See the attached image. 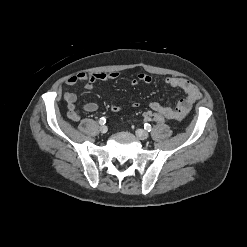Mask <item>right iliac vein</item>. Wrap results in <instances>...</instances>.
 I'll return each instance as SVG.
<instances>
[{
  "label": "right iliac vein",
  "mask_w": 247,
  "mask_h": 247,
  "mask_svg": "<svg viewBox=\"0 0 247 247\" xmlns=\"http://www.w3.org/2000/svg\"><path fill=\"white\" fill-rule=\"evenodd\" d=\"M99 130H100L101 133L104 134V133L107 132L108 128L106 126L102 125V126H100Z\"/></svg>",
  "instance_id": "right-iliac-vein-1"
}]
</instances>
